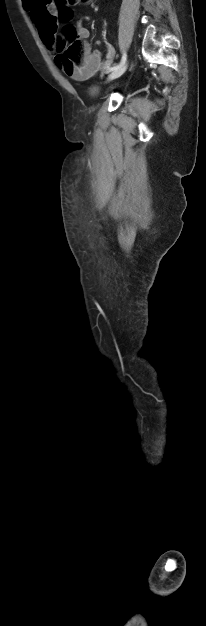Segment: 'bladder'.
Returning <instances> with one entry per match:
<instances>
[{
  "label": "bladder",
  "instance_id": "1",
  "mask_svg": "<svg viewBox=\"0 0 206 626\" xmlns=\"http://www.w3.org/2000/svg\"><path fill=\"white\" fill-rule=\"evenodd\" d=\"M90 95H91L92 97H97V96H98V90H97L96 88H92V89L90 90Z\"/></svg>",
  "mask_w": 206,
  "mask_h": 626
}]
</instances>
